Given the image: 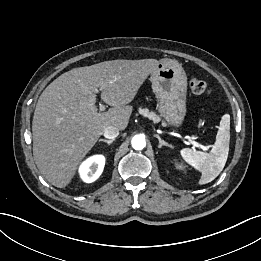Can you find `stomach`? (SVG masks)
<instances>
[{
	"label": "stomach",
	"mask_w": 261,
	"mask_h": 261,
	"mask_svg": "<svg viewBox=\"0 0 261 261\" xmlns=\"http://www.w3.org/2000/svg\"><path fill=\"white\" fill-rule=\"evenodd\" d=\"M152 90L159 99L158 111L171 126L180 127L186 115L187 76L180 63L162 59L151 73Z\"/></svg>",
	"instance_id": "1"
}]
</instances>
